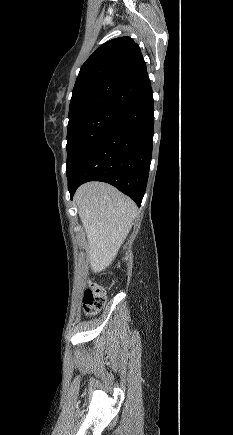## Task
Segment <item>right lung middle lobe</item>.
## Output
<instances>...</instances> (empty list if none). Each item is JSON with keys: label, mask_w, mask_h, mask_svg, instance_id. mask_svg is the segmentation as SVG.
I'll return each instance as SVG.
<instances>
[{"label": "right lung middle lobe", "mask_w": 233, "mask_h": 435, "mask_svg": "<svg viewBox=\"0 0 233 435\" xmlns=\"http://www.w3.org/2000/svg\"><path fill=\"white\" fill-rule=\"evenodd\" d=\"M122 112L97 109L69 118L67 132V176L78 161L121 116Z\"/></svg>", "instance_id": "right-lung-middle-lobe-1"}]
</instances>
